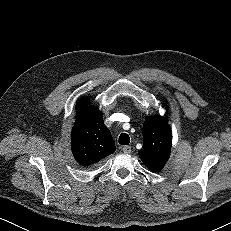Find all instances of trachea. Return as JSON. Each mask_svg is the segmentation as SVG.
Instances as JSON below:
<instances>
[{"label":"trachea","mask_w":231,"mask_h":231,"mask_svg":"<svg viewBox=\"0 0 231 231\" xmlns=\"http://www.w3.org/2000/svg\"><path fill=\"white\" fill-rule=\"evenodd\" d=\"M119 144L121 145H128L130 143V137L128 134L126 133H122L119 136V140H118Z\"/></svg>","instance_id":"obj_1"}]
</instances>
